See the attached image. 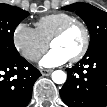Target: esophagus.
<instances>
[{
	"label": "esophagus",
	"mask_w": 107,
	"mask_h": 107,
	"mask_svg": "<svg viewBox=\"0 0 107 107\" xmlns=\"http://www.w3.org/2000/svg\"><path fill=\"white\" fill-rule=\"evenodd\" d=\"M52 71H53V70H51V69H42V70H41V74H42L43 76H48V75H50V74L52 73Z\"/></svg>",
	"instance_id": "34e87169"
}]
</instances>
